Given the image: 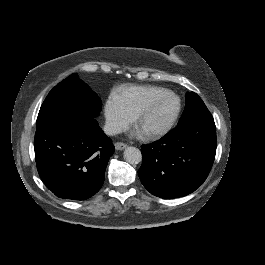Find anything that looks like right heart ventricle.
<instances>
[{"label": "right heart ventricle", "instance_id": "e07e8e85", "mask_svg": "<svg viewBox=\"0 0 265 265\" xmlns=\"http://www.w3.org/2000/svg\"><path fill=\"white\" fill-rule=\"evenodd\" d=\"M158 87L132 86L113 96V101L122 112L133 119Z\"/></svg>", "mask_w": 265, "mask_h": 265}]
</instances>
